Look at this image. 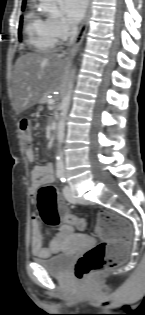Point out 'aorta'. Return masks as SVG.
Instances as JSON below:
<instances>
[{
  "mask_svg": "<svg viewBox=\"0 0 145 315\" xmlns=\"http://www.w3.org/2000/svg\"><path fill=\"white\" fill-rule=\"evenodd\" d=\"M40 1V10L42 12L57 14L58 13V7H57V0H39ZM75 77V70L71 73V79L68 83L67 91L62 99L61 105H60V119L58 121L57 126V141H58V153L56 157V172L59 175L64 174V161H63V151H62V143L65 138V126H66V117L69 111L70 102H71V95L73 90V80Z\"/></svg>",
  "mask_w": 145,
  "mask_h": 315,
  "instance_id": "1",
  "label": "aorta"
}]
</instances>
